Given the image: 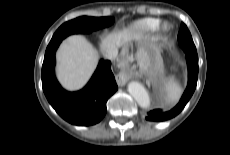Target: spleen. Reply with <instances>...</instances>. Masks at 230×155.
<instances>
[{
	"instance_id": "1",
	"label": "spleen",
	"mask_w": 230,
	"mask_h": 155,
	"mask_svg": "<svg viewBox=\"0 0 230 155\" xmlns=\"http://www.w3.org/2000/svg\"><path fill=\"white\" fill-rule=\"evenodd\" d=\"M164 90L166 92L168 100L172 103L177 102L182 94V87L173 79H170L165 84Z\"/></svg>"
}]
</instances>
